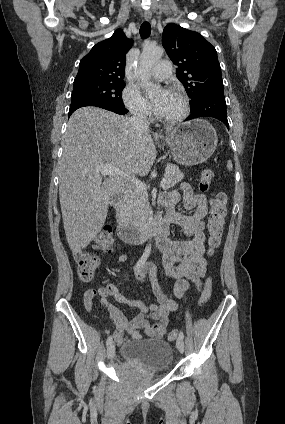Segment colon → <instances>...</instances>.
<instances>
[{"label": "colon", "instance_id": "obj_1", "mask_svg": "<svg viewBox=\"0 0 285 424\" xmlns=\"http://www.w3.org/2000/svg\"><path fill=\"white\" fill-rule=\"evenodd\" d=\"M215 176L212 169H205L199 179L198 188L201 193L208 192L211 182ZM228 213V197L225 193L219 192L211 199V209L208 222L209 239L208 244L211 249H216L221 241L225 221ZM98 245L105 251H110L114 245V237L110 226H104L97 236ZM77 263V274L82 281H91L96 272L100 269L101 263L98 256L90 251L82 250L74 254ZM211 296V280L205 281L204 290L200 297L199 304L205 305ZM177 338V331H172L168 339L174 341Z\"/></svg>", "mask_w": 285, "mask_h": 424}]
</instances>
